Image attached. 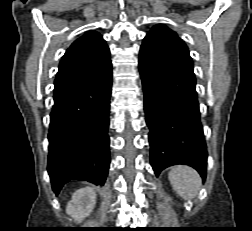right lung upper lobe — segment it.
I'll return each mask as SVG.
<instances>
[{
  "mask_svg": "<svg viewBox=\"0 0 252 231\" xmlns=\"http://www.w3.org/2000/svg\"><path fill=\"white\" fill-rule=\"evenodd\" d=\"M112 71L110 50L96 31L75 40L62 57L54 83V98L97 80Z\"/></svg>",
  "mask_w": 252,
  "mask_h": 231,
  "instance_id": "cb5924a9",
  "label": "right lung upper lobe"
}]
</instances>
